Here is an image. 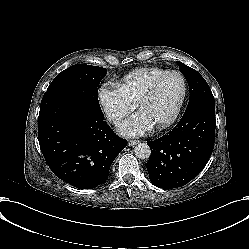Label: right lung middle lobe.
<instances>
[{"label":"right lung middle lobe","instance_id":"right-lung-middle-lobe-1","mask_svg":"<svg viewBox=\"0 0 249 249\" xmlns=\"http://www.w3.org/2000/svg\"><path fill=\"white\" fill-rule=\"evenodd\" d=\"M106 73L107 70L91 65L76 64L58 74L48 91L78 92L87 107L101 110L97 86Z\"/></svg>","mask_w":249,"mask_h":249}]
</instances>
